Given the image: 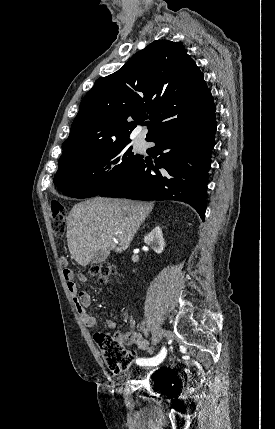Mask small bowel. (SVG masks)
I'll list each match as a JSON object with an SVG mask.
<instances>
[{
  "mask_svg": "<svg viewBox=\"0 0 275 429\" xmlns=\"http://www.w3.org/2000/svg\"><path fill=\"white\" fill-rule=\"evenodd\" d=\"M63 275L67 283L68 290L70 294L73 296L74 304L76 306V310L80 315L83 323L89 329H94L97 327V319L90 315L87 312V308L91 304V296L86 291H79L77 284L74 281V273L70 269H64ZM88 278L81 274L79 275V281L82 283H86ZM107 326L110 329H114L116 327V322L113 319L107 321ZM116 336H119L124 343L126 344H135L138 348L142 350H146L148 352H152V345L149 341L144 340L139 333L136 332H127V333H117ZM133 358L135 357V353L131 352Z\"/></svg>",
  "mask_w": 275,
  "mask_h": 429,
  "instance_id": "1",
  "label": "small bowel"
}]
</instances>
